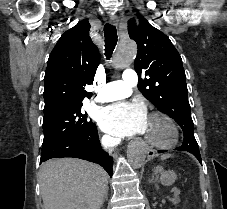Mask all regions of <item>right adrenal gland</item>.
<instances>
[{
	"instance_id": "2a0ac1e0",
	"label": "right adrenal gland",
	"mask_w": 227,
	"mask_h": 209,
	"mask_svg": "<svg viewBox=\"0 0 227 209\" xmlns=\"http://www.w3.org/2000/svg\"><path fill=\"white\" fill-rule=\"evenodd\" d=\"M104 199H105V201H108V193H106Z\"/></svg>"
}]
</instances>
